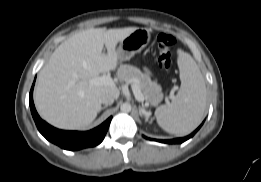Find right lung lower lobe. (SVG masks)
I'll return each instance as SVG.
<instances>
[{
    "mask_svg": "<svg viewBox=\"0 0 261 182\" xmlns=\"http://www.w3.org/2000/svg\"><path fill=\"white\" fill-rule=\"evenodd\" d=\"M33 88L34 84L32 85L29 96L31 113L39 132L47 140L67 150H79L86 147H93L103 141L112 117L108 118L100 126L87 132L59 130L39 117L33 103Z\"/></svg>",
    "mask_w": 261,
    "mask_h": 182,
    "instance_id": "1",
    "label": "right lung lower lobe"
}]
</instances>
